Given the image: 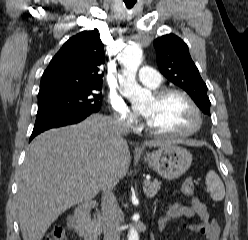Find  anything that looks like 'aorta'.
<instances>
[{"label": "aorta", "mask_w": 248, "mask_h": 240, "mask_svg": "<svg viewBox=\"0 0 248 240\" xmlns=\"http://www.w3.org/2000/svg\"><path fill=\"white\" fill-rule=\"evenodd\" d=\"M143 51L137 44L126 47L121 55L122 77L120 86L122 94L137 108L151 98L149 90L142 88L136 81V73L142 62ZM128 240H139L137 231L132 227L128 233Z\"/></svg>", "instance_id": "aorta-1"}]
</instances>
